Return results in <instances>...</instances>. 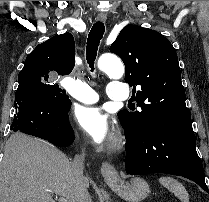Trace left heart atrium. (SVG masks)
<instances>
[{
	"mask_svg": "<svg viewBox=\"0 0 209 202\" xmlns=\"http://www.w3.org/2000/svg\"><path fill=\"white\" fill-rule=\"evenodd\" d=\"M74 117L85 135L96 144L104 142L111 134L109 118L99 107L81 106L75 111Z\"/></svg>",
	"mask_w": 209,
	"mask_h": 202,
	"instance_id": "39dd6f15",
	"label": "left heart atrium"
}]
</instances>
